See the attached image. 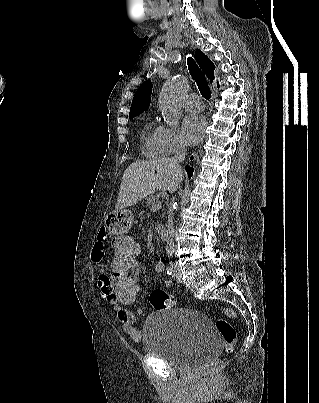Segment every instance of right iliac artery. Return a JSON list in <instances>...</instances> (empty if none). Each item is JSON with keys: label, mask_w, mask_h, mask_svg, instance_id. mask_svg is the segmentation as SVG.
I'll list each match as a JSON object with an SVG mask.
<instances>
[{"label": "right iliac artery", "mask_w": 319, "mask_h": 403, "mask_svg": "<svg viewBox=\"0 0 319 403\" xmlns=\"http://www.w3.org/2000/svg\"><path fill=\"white\" fill-rule=\"evenodd\" d=\"M167 274L171 275L173 273V267L172 266H168L167 267Z\"/></svg>", "instance_id": "obj_1"}]
</instances>
